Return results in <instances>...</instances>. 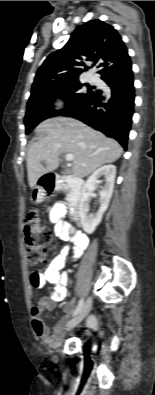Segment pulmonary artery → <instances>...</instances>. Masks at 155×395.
Here are the masks:
<instances>
[{"instance_id": "e3ab8cb5", "label": "pulmonary artery", "mask_w": 155, "mask_h": 395, "mask_svg": "<svg viewBox=\"0 0 155 395\" xmlns=\"http://www.w3.org/2000/svg\"><path fill=\"white\" fill-rule=\"evenodd\" d=\"M89 80H90V82H96L97 81L95 77H90Z\"/></svg>"}]
</instances>
